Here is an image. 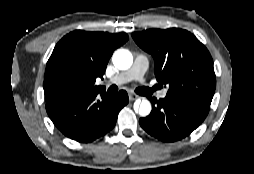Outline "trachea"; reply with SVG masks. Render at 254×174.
<instances>
[{"label":"trachea","instance_id":"trachea-1","mask_svg":"<svg viewBox=\"0 0 254 174\" xmlns=\"http://www.w3.org/2000/svg\"><path fill=\"white\" fill-rule=\"evenodd\" d=\"M157 89H158L157 86H155L153 88L141 87V88H137L135 91L139 95L148 96V95H151ZM117 90H118V88L115 85L111 86L110 89H109V91L111 93H115V92H117Z\"/></svg>","mask_w":254,"mask_h":174}]
</instances>
